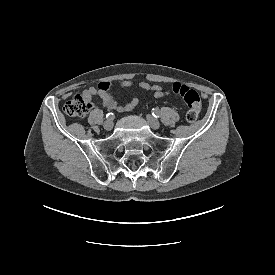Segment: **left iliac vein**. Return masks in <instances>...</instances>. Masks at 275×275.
<instances>
[{"mask_svg":"<svg viewBox=\"0 0 275 275\" xmlns=\"http://www.w3.org/2000/svg\"><path fill=\"white\" fill-rule=\"evenodd\" d=\"M146 118H147V121H148L149 125L151 126V128H153L155 130L160 128L159 121L156 118H154L152 115H147Z\"/></svg>","mask_w":275,"mask_h":275,"instance_id":"1","label":"left iliac vein"}]
</instances>
